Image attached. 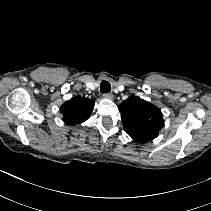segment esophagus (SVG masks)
I'll use <instances>...</instances> for the list:
<instances>
[{
  "label": "esophagus",
  "mask_w": 211,
  "mask_h": 211,
  "mask_svg": "<svg viewBox=\"0 0 211 211\" xmlns=\"http://www.w3.org/2000/svg\"><path fill=\"white\" fill-rule=\"evenodd\" d=\"M103 98L108 99V100H112L114 98V96L111 93H104Z\"/></svg>",
  "instance_id": "34e87169"
}]
</instances>
